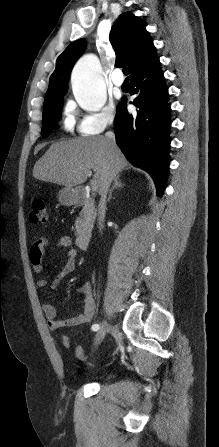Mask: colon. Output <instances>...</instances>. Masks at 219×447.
Wrapping results in <instances>:
<instances>
[{
	"label": "colon",
	"mask_w": 219,
	"mask_h": 447,
	"mask_svg": "<svg viewBox=\"0 0 219 447\" xmlns=\"http://www.w3.org/2000/svg\"><path fill=\"white\" fill-rule=\"evenodd\" d=\"M29 220L33 225L44 224L47 220L46 204L43 198H35L29 213Z\"/></svg>",
	"instance_id": "colon-1"
}]
</instances>
